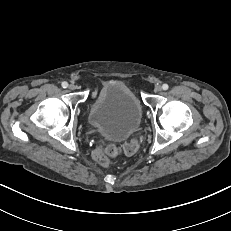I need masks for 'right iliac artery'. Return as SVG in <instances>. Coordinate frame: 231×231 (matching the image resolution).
<instances>
[{"instance_id":"obj_1","label":"right iliac artery","mask_w":231,"mask_h":231,"mask_svg":"<svg viewBox=\"0 0 231 231\" xmlns=\"http://www.w3.org/2000/svg\"><path fill=\"white\" fill-rule=\"evenodd\" d=\"M61 85H62V87H63V88H67V87H68V83H67V82H65V81H64V82H62V84H61Z\"/></svg>"}]
</instances>
